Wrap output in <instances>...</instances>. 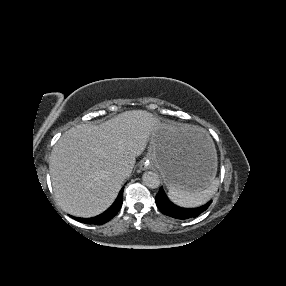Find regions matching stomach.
Returning <instances> with one entry per match:
<instances>
[{
    "mask_svg": "<svg viewBox=\"0 0 286 286\" xmlns=\"http://www.w3.org/2000/svg\"><path fill=\"white\" fill-rule=\"evenodd\" d=\"M149 157L167 186L190 192L208 187L217 173L211 138L177 123L160 124L150 139Z\"/></svg>",
    "mask_w": 286,
    "mask_h": 286,
    "instance_id": "1",
    "label": "stomach"
}]
</instances>
